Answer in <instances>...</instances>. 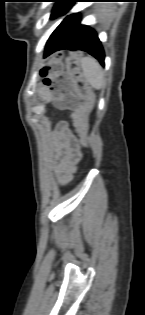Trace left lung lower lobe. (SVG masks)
<instances>
[{"label": "left lung lower lobe", "instance_id": "1", "mask_svg": "<svg viewBox=\"0 0 145 315\" xmlns=\"http://www.w3.org/2000/svg\"><path fill=\"white\" fill-rule=\"evenodd\" d=\"M78 1L73 0L61 14ZM62 49L86 51L104 66V51L97 33L89 26L81 25L78 14L68 15L54 30L46 43L44 56Z\"/></svg>", "mask_w": 145, "mask_h": 315}]
</instances>
